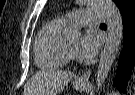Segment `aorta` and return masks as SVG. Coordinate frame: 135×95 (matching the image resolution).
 <instances>
[{
  "mask_svg": "<svg viewBox=\"0 0 135 95\" xmlns=\"http://www.w3.org/2000/svg\"><path fill=\"white\" fill-rule=\"evenodd\" d=\"M84 2L100 9L105 14L107 22L108 36L100 56L96 73L97 91L100 92L115 61L116 54L121 44L123 36L122 16L112 0H84ZM79 36V32L74 30L69 31L68 33V37L72 40L79 38Z\"/></svg>",
  "mask_w": 135,
  "mask_h": 95,
  "instance_id": "aorta-1",
  "label": "aorta"
}]
</instances>
